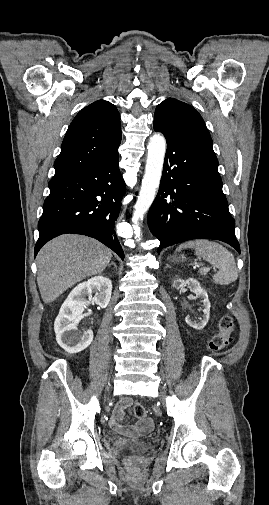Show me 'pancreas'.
<instances>
[{"mask_svg": "<svg viewBox=\"0 0 269 505\" xmlns=\"http://www.w3.org/2000/svg\"><path fill=\"white\" fill-rule=\"evenodd\" d=\"M207 272H208V270H206V269H200V270H199V273H200L201 275H206V274H207Z\"/></svg>", "mask_w": 269, "mask_h": 505, "instance_id": "obj_1", "label": "pancreas"}]
</instances>
